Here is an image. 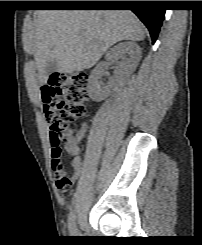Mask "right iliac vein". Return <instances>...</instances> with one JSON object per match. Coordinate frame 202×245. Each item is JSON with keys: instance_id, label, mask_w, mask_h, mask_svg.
I'll list each match as a JSON object with an SVG mask.
<instances>
[{"instance_id": "1", "label": "right iliac vein", "mask_w": 202, "mask_h": 245, "mask_svg": "<svg viewBox=\"0 0 202 245\" xmlns=\"http://www.w3.org/2000/svg\"><path fill=\"white\" fill-rule=\"evenodd\" d=\"M75 236H81L80 232L77 229H75Z\"/></svg>"}]
</instances>
